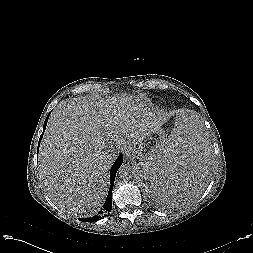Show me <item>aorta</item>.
Listing matches in <instances>:
<instances>
[{
  "label": "aorta",
  "mask_w": 253,
  "mask_h": 253,
  "mask_svg": "<svg viewBox=\"0 0 253 253\" xmlns=\"http://www.w3.org/2000/svg\"><path fill=\"white\" fill-rule=\"evenodd\" d=\"M134 172L135 170L133 166L130 164H123L118 170V175L121 179L126 180L132 178Z\"/></svg>",
  "instance_id": "762f6f07"
}]
</instances>
